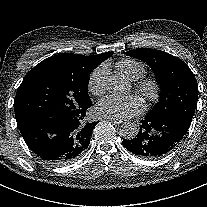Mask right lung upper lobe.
I'll return each mask as SVG.
<instances>
[{
    "instance_id": "right-lung-upper-lobe-1",
    "label": "right lung upper lobe",
    "mask_w": 207,
    "mask_h": 207,
    "mask_svg": "<svg viewBox=\"0 0 207 207\" xmlns=\"http://www.w3.org/2000/svg\"><path fill=\"white\" fill-rule=\"evenodd\" d=\"M113 52L99 55L83 56L79 54L64 53L49 57L36 66H55L73 70L79 74L90 75L100 63L112 56Z\"/></svg>"
}]
</instances>
